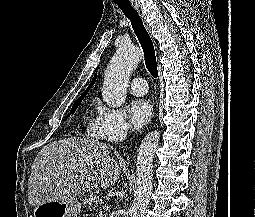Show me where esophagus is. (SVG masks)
I'll use <instances>...</instances> for the list:
<instances>
[{
    "mask_svg": "<svg viewBox=\"0 0 255 217\" xmlns=\"http://www.w3.org/2000/svg\"><path fill=\"white\" fill-rule=\"evenodd\" d=\"M132 6L137 11V13L140 15L141 19L144 22V25H145L147 31L149 32V34H151V29H150V26H149V24L147 22L146 15H145V13L142 10L141 4L139 2H137V1H133L132 2Z\"/></svg>",
    "mask_w": 255,
    "mask_h": 217,
    "instance_id": "1",
    "label": "esophagus"
}]
</instances>
